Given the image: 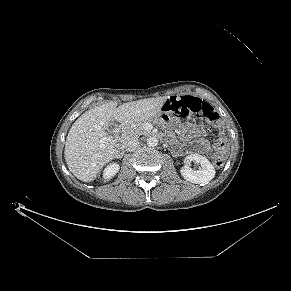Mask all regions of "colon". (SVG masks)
<instances>
[{
    "label": "colon",
    "mask_w": 291,
    "mask_h": 291,
    "mask_svg": "<svg viewBox=\"0 0 291 291\" xmlns=\"http://www.w3.org/2000/svg\"><path fill=\"white\" fill-rule=\"evenodd\" d=\"M164 111L178 117L196 115L218 125L219 115L214 107L199 99L187 96H174L164 104ZM217 154L214 159V165L220 168L225 163L226 153L228 152V143L220 139L216 144Z\"/></svg>",
    "instance_id": "obj_1"
}]
</instances>
